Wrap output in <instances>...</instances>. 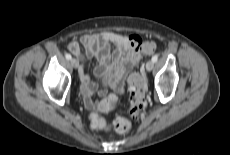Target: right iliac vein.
<instances>
[{
    "label": "right iliac vein",
    "mask_w": 230,
    "mask_h": 155,
    "mask_svg": "<svg viewBox=\"0 0 230 155\" xmlns=\"http://www.w3.org/2000/svg\"><path fill=\"white\" fill-rule=\"evenodd\" d=\"M70 63H71V65H72L74 68H78V67H79V62H78V60L75 59V58H72V59L70 60Z\"/></svg>",
    "instance_id": "1"
}]
</instances>
